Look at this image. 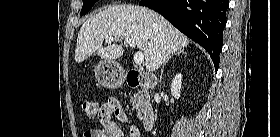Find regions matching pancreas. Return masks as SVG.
<instances>
[{"label":"pancreas","mask_w":280,"mask_h":137,"mask_svg":"<svg viewBox=\"0 0 280 137\" xmlns=\"http://www.w3.org/2000/svg\"><path fill=\"white\" fill-rule=\"evenodd\" d=\"M130 102L132 103V106L136 108L137 117L139 119L143 118L142 114H145L152 109L149 94L145 90L134 93Z\"/></svg>","instance_id":"obj_1"}]
</instances>
